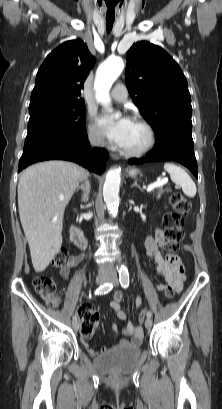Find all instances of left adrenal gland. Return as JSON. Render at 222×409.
Listing matches in <instances>:
<instances>
[{
  "label": "left adrenal gland",
  "mask_w": 222,
  "mask_h": 409,
  "mask_svg": "<svg viewBox=\"0 0 222 409\" xmlns=\"http://www.w3.org/2000/svg\"><path fill=\"white\" fill-rule=\"evenodd\" d=\"M134 186L139 188L141 191H143L142 188L137 184V180H135V182L131 185V187H134Z\"/></svg>",
  "instance_id": "left-adrenal-gland-1"
}]
</instances>
